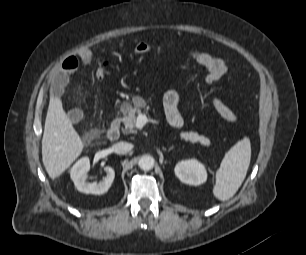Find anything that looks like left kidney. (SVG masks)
Segmentation results:
<instances>
[{"label": "left kidney", "mask_w": 306, "mask_h": 255, "mask_svg": "<svg viewBox=\"0 0 306 255\" xmlns=\"http://www.w3.org/2000/svg\"><path fill=\"white\" fill-rule=\"evenodd\" d=\"M174 171L177 178L185 184L198 186L207 180L205 166L196 159L179 162Z\"/></svg>", "instance_id": "left-kidney-1"}]
</instances>
